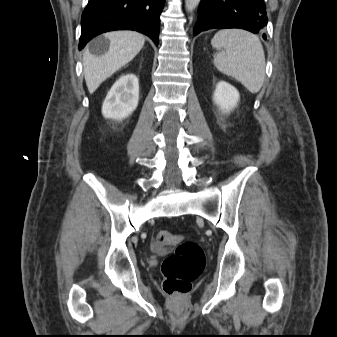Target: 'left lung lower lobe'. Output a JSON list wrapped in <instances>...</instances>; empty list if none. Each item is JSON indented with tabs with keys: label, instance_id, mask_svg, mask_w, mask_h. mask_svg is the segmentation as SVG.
<instances>
[{
	"label": "left lung lower lobe",
	"instance_id": "1",
	"mask_svg": "<svg viewBox=\"0 0 337 337\" xmlns=\"http://www.w3.org/2000/svg\"><path fill=\"white\" fill-rule=\"evenodd\" d=\"M267 25L263 0H201L194 35L214 28H240L258 33ZM266 39V35H263Z\"/></svg>",
	"mask_w": 337,
	"mask_h": 337
}]
</instances>
